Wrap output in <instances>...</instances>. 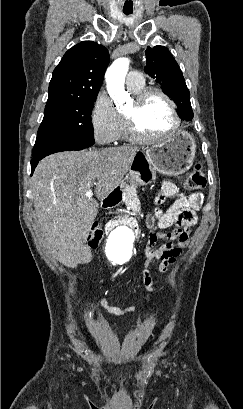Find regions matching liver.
<instances>
[{"label":"liver","instance_id":"1","mask_svg":"<svg viewBox=\"0 0 243 409\" xmlns=\"http://www.w3.org/2000/svg\"><path fill=\"white\" fill-rule=\"evenodd\" d=\"M139 151L121 146L99 151L52 154L32 177L34 208L44 242L59 262L75 268L88 250L86 238L99 204L85 193L94 188L104 199L122 184Z\"/></svg>","mask_w":243,"mask_h":409}]
</instances>
